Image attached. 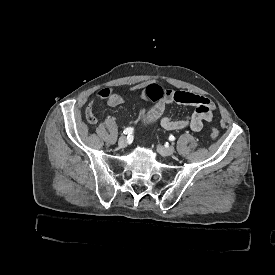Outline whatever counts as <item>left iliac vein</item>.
I'll return each instance as SVG.
<instances>
[{"label": "left iliac vein", "mask_w": 275, "mask_h": 275, "mask_svg": "<svg viewBox=\"0 0 275 275\" xmlns=\"http://www.w3.org/2000/svg\"><path fill=\"white\" fill-rule=\"evenodd\" d=\"M157 150L164 156L173 155L175 153V148L173 146L162 147L161 145H157Z\"/></svg>", "instance_id": "obj_1"}]
</instances>
